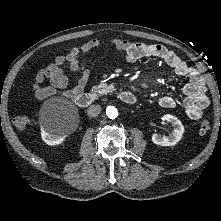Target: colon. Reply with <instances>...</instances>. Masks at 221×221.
Listing matches in <instances>:
<instances>
[{
  "mask_svg": "<svg viewBox=\"0 0 221 221\" xmlns=\"http://www.w3.org/2000/svg\"><path fill=\"white\" fill-rule=\"evenodd\" d=\"M27 124H28L27 116L21 115V116L15 117L14 119V125L19 129H23ZM210 128L211 126L208 121L206 120L202 121L199 126V132L201 134H206L209 132Z\"/></svg>",
  "mask_w": 221,
  "mask_h": 221,
  "instance_id": "colon-1",
  "label": "colon"
}]
</instances>
